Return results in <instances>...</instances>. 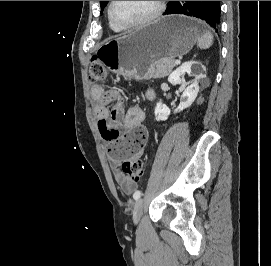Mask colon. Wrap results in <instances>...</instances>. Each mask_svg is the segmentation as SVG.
<instances>
[{"instance_id":"5ec220e1","label":"colon","mask_w":271,"mask_h":266,"mask_svg":"<svg viewBox=\"0 0 271 266\" xmlns=\"http://www.w3.org/2000/svg\"><path fill=\"white\" fill-rule=\"evenodd\" d=\"M107 72L98 62H92L89 67L88 77L91 82H99L105 79ZM122 172L131 180L138 182L143 175V164L139 159H130L123 162Z\"/></svg>"}]
</instances>
